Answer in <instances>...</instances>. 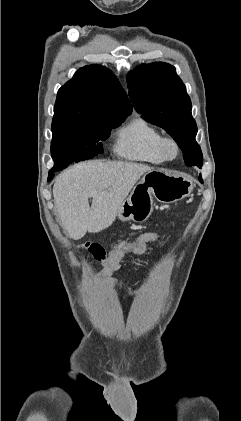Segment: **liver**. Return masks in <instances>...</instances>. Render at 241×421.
<instances>
[{
	"label": "liver",
	"instance_id": "6515ba94",
	"mask_svg": "<svg viewBox=\"0 0 241 421\" xmlns=\"http://www.w3.org/2000/svg\"><path fill=\"white\" fill-rule=\"evenodd\" d=\"M150 166L134 162L89 161L62 172L53 186L61 226L73 240L113 224L118 210ZM92 198L91 207L88 199Z\"/></svg>",
	"mask_w": 241,
	"mask_h": 421
}]
</instances>
